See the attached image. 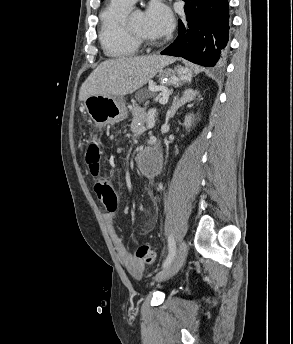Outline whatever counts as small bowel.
<instances>
[{
    "instance_id": "obj_1",
    "label": "small bowel",
    "mask_w": 293,
    "mask_h": 344,
    "mask_svg": "<svg viewBox=\"0 0 293 344\" xmlns=\"http://www.w3.org/2000/svg\"><path fill=\"white\" fill-rule=\"evenodd\" d=\"M115 216L114 211H109L105 214V222L109 228L115 249L125 267L135 276L140 277L142 275L144 265L137 258L133 257L129 250L126 248L123 238L118 233L115 227Z\"/></svg>"
}]
</instances>
